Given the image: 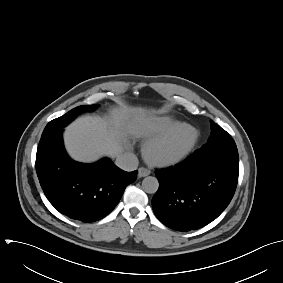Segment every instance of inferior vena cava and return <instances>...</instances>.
<instances>
[{
    "instance_id": "1",
    "label": "inferior vena cava",
    "mask_w": 283,
    "mask_h": 283,
    "mask_svg": "<svg viewBox=\"0 0 283 283\" xmlns=\"http://www.w3.org/2000/svg\"><path fill=\"white\" fill-rule=\"evenodd\" d=\"M115 164L125 171H133L138 167V159L135 154L125 152L117 156Z\"/></svg>"
}]
</instances>
